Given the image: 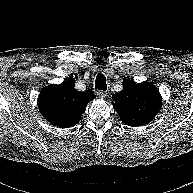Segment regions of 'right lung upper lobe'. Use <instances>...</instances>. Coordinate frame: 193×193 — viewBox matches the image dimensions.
Segmentation results:
<instances>
[{
    "mask_svg": "<svg viewBox=\"0 0 193 193\" xmlns=\"http://www.w3.org/2000/svg\"><path fill=\"white\" fill-rule=\"evenodd\" d=\"M75 81L68 79L60 85L51 84L40 91L38 108L43 117L59 128L76 125L89 101L95 99L91 90L77 91Z\"/></svg>",
    "mask_w": 193,
    "mask_h": 193,
    "instance_id": "cb5924a9",
    "label": "right lung upper lobe"
}]
</instances>
